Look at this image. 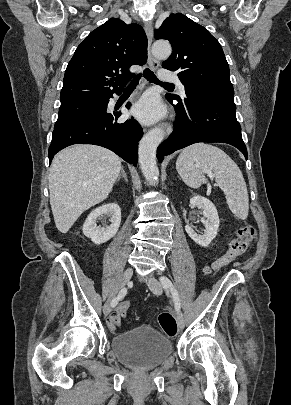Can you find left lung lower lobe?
<instances>
[{
  "instance_id": "1",
  "label": "left lung lower lobe",
  "mask_w": 291,
  "mask_h": 405,
  "mask_svg": "<svg viewBox=\"0 0 291 405\" xmlns=\"http://www.w3.org/2000/svg\"><path fill=\"white\" fill-rule=\"evenodd\" d=\"M186 98L177 100L173 133L159 145L157 158L198 142H223L238 148L247 159V149L236 119L234 89L194 87L185 89ZM172 103L173 98L167 96ZM176 100V99H174Z\"/></svg>"
}]
</instances>
